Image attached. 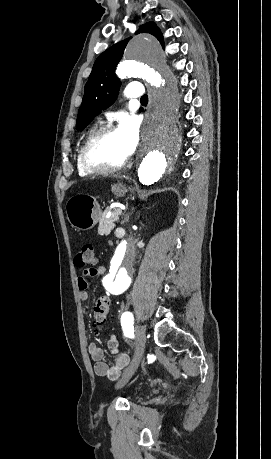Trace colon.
I'll return each instance as SVG.
<instances>
[{"label":"colon","mask_w":271,"mask_h":459,"mask_svg":"<svg viewBox=\"0 0 271 459\" xmlns=\"http://www.w3.org/2000/svg\"><path fill=\"white\" fill-rule=\"evenodd\" d=\"M96 261L97 258L94 247L89 243L84 244L80 252L74 258V263L78 267L92 266ZM109 307L110 298L108 296L103 295L96 299L93 307V322L97 328L105 324Z\"/></svg>","instance_id":"1"}]
</instances>
